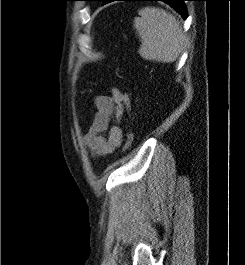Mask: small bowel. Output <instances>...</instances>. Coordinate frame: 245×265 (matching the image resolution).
Instances as JSON below:
<instances>
[{
    "mask_svg": "<svg viewBox=\"0 0 245 265\" xmlns=\"http://www.w3.org/2000/svg\"><path fill=\"white\" fill-rule=\"evenodd\" d=\"M93 103L96 113L82 142L93 155L104 156L113 153L122 143L120 120L126 111L123 92L112 87L110 95H97ZM112 120L115 124L109 127Z\"/></svg>",
    "mask_w": 245,
    "mask_h": 265,
    "instance_id": "c3829d8e",
    "label": "small bowel"
}]
</instances>
